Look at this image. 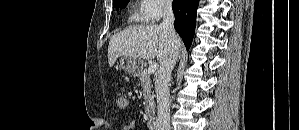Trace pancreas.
Here are the masks:
<instances>
[{
	"label": "pancreas",
	"instance_id": "1",
	"mask_svg": "<svg viewBox=\"0 0 299 130\" xmlns=\"http://www.w3.org/2000/svg\"><path fill=\"white\" fill-rule=\"evenodd\" d=\"M138 80L144 97L145 113L148 117H151L155 113V96L153 93V85L150 80V74L147 70H141L138 73Z\"/></svg>",
	"mask_w": 299,
	"mask_h": 130
}]
</instances>
